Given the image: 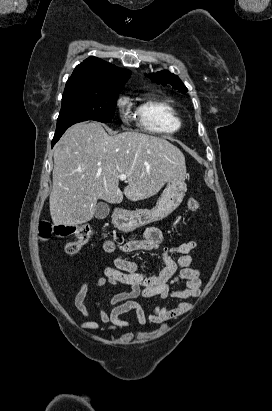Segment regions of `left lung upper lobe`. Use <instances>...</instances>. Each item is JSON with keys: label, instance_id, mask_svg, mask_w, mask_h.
I'll use <instances>...</instances> for the list:
<instances>
[{"label": "left lung upper lobe", "instance_id": "left-lung-upper-lobe-1", "mask_svg": "<svg viewBox=\"0 0 272 411\" xmlns=\"http://www.w3.org/2000/svg\"><path fill=\"white\" fill-rule=\"evenodd\" d=\"M145 75L149 77L152 80V82H157L158 84H161L163 86L170 84L173 88L179 91H182V92L187 91V88L181 82L179 77L168 71H161V72L145 74Z\"/></svg>", "mask_w": 272, "mask_h": 411}]
</instances>
